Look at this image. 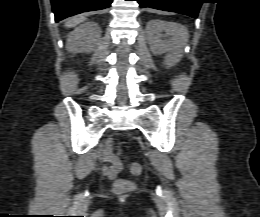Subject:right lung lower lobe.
Segmentation results:
<instances>
[{"label": "right lung lower lobe", "mask_w": 260, "mask_h": 217, "mask_svg": "<svg viewBox=\"0 0 260 217\" xmlns=\"http://www.w3.org/2000/svg\"><path fill=\"white\" fill-rule=\"evenodd\" d=\"M113 0H51L55 21L86 11L109 8Z\"/></svg>", "instance_id": "obj_1"}]
</instances>
